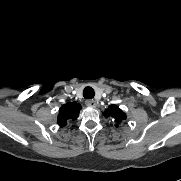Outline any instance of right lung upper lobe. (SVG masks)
<instances>
[{"mask_svg": "<svg viewBox=\"0 0 181 181\" xmlns=\"http://www.w3.org/2000/svg\"><path fill=\"white\" fill-rule=\"evenodd\" d=\"M81 109V105L76 102H68L61 106L57 118V123L64 127L69 120H75Z\"/></svg>", "mask_w": 181, "mask_h": 181, "instance_id": "1", "label": "right lung upper lobe"}]
</instances>
